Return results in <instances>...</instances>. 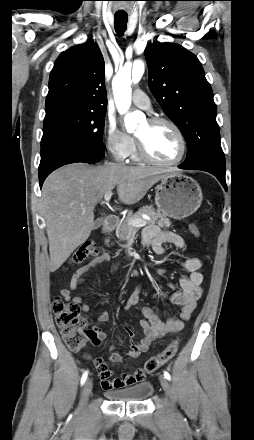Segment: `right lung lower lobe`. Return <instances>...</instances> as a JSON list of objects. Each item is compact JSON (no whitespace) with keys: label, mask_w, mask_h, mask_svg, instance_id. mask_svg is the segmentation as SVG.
<instances>
[{"label":"right lung lower lobe","mask_w":254,"mask_h":440,"mask_svg":"<svg viewBox=\"0 0 254 440\" xmlns=\"http://www.w3.org/2000/svg\"><path fill=\"white\" fill-rule=\"evenodd\" d=\"M79 162H89V163H94V162H97V161H79ZM49 174V173H48ZM48 174H46V175H44V176H42V177H39V184H40V188H41V186H42V184H43V182H44V180H45V178L47 177V175Z\"/></svg>","instance_id":"1"}]
</instances>
